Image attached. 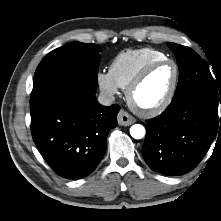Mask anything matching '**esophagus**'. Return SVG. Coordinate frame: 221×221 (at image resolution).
I'll list each match as a JSON object with an SVG mask.
<instances>
[{
  "instance_id": "1",
  "label": "esophagus",
  "mask_w": 221,
  "mask_h": 221,
  "mask_svg": "<svg viewBox=\"0 0 221 221\" xmlns=\"http://www.w3.org/2000/svg\"><path fill=\"white\" fill-rule=\"evenodd\" d=\"M117 119L118 124L121 126H129L136 121V119L133 116H131L128 112L124 110L119 111Z\"/></svg>"
}]
</instances>
